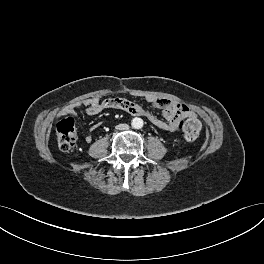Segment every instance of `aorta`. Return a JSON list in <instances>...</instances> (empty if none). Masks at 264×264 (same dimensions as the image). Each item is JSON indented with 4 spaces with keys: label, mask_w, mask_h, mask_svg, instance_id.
I'll list each match as a JSON object with an SVG mask.
<instances>
[{
    "label": "aorta",
    "mask_w": 264,
    "mask_h": 264,
    "mask_svg": "<svg viewBox=\"0 0 264 264\" xmlns=\"http://www.w3.org/2000/svg\"><path fill=\"white\" fill-rule=\"evenodd\" d=\"M143 120L139 117H135L131 121V126L135 129H140L143 127Z\"/></svg>",
    "instance_id": "obj_1"
}]
</instances>
